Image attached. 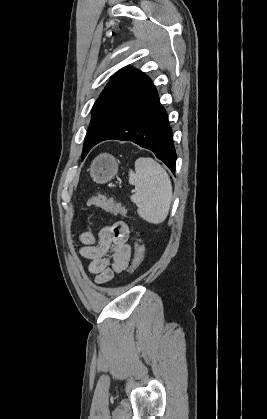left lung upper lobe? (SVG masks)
Listing matches in <instances>:
<instances>
[{
  "instance_id": "5c2ea615",
  "label": "left lung upper lobe",
  "mask_w": 267,
  "mask_h": 419,
  "mask_svg": "<svg viewBox=\"0 0 267 419\" xmlns=\"http://www.w3.org/2000/svg\"><path fill=\"white\" fill-rule=\"evenodd\" d=\"M150 83L148 76L132 67H124L115 74L91 110L92 118L85 137L82 157L91 143L112 129V114L126 109Z\"/></svg>"
}]
</instances>
